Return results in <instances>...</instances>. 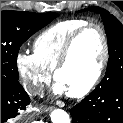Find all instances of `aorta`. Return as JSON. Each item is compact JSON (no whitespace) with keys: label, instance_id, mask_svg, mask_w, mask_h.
Instances as JSON below:
<instances>
[{"label":"aorta","instance_id":"762f6f07","mask_svg":"<svg viewBox=\"0 0 123 123\" xmlns=\"http://www.w3.org/2000/svg\"><path fill=\"white\" fill-rule=\"evenodd\" d=\"M50 118L52 123H70L69 115L62 109H55L51 112Z\"/></svg>","mask_w":123,"mask_h":123}]
</instances>
